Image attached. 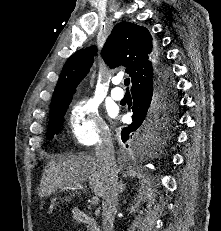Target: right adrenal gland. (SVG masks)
<instances>
[{
	"mask_svg": "<svg viewBox=\"0 0 221 231\" xmlns=\"http://www.w3.org/2000/svg\"><path fill=\"white\" fill-rule=\"evenodd\" d=\"M119 188H120V191H119V192L122 194V193H123V191H124V188H125V186H124V184H123V182H122V181H120Z\"/></svg>",
	"mask_w": 221,
	"mask_h": 231,
	"instance_id": "obj_1",
	"label": "right adrenal gland"
}]
</instances>
